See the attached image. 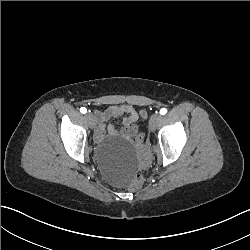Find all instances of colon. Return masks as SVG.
Here are the masks:
<instances>
[{
	"instance_id": "5ec220e1",
	"label": "colon",
	"mask_w": 250,
	"mask_h": 250,
	"mask_svg": "<svg viewBox=\"0 0 250 250\" xmlns=\"http://www.w3.org/2000/svg\"><path fill=\"white\" fill-rule=\"evenodd\" d=\"M140 116L142 119H146L147 117V112L145 110H142L140 112ZM144 135L143 134H138L135 137V142L136 144H142L144 142ZM146 184V177L144 175H137L135 177V180L133 182H130L128 184V191L130 193H139L143 188L144 185Z\"/></svg>"
}]
</instances>
